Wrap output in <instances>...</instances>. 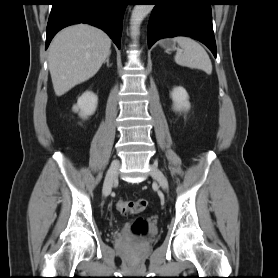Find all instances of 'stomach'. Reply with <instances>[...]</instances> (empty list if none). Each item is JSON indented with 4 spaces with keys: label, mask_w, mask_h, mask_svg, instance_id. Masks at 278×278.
<instances>
[{
    "label": "stomach",
    "mask_w": 278,
    "mask_h": 278,
    "mask_svg": "<svg viewBox=\"0 0 278 278\" xmlns=\"http://www.w3.org/2000/svg\"><path fill=\"white\" fill-rule=\"evenodd\" d=\"M161 46L165 48L167 51L174 49L175 45L171 40H164L161 42Z\"/></svg>",
    "instance_id": "0dacf381"
}]
</instances>
